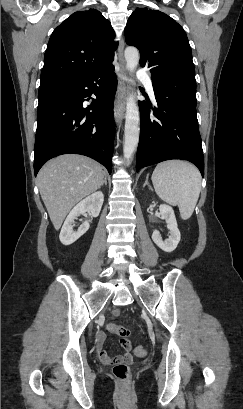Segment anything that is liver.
I'll list each match as a JSON object with an SVG mask.
<instances>
[{"label":"liver","instance_id":"1","mask_svg":"<svg viewBox=\"0 0 243 409\" xmlns=\"http://www.w3.org/2000/svg\"><path fill=\"white\" fill-rule=\"evenodd\" d=\"M104 175L98 162L75 154L58 156L41 168L38 187L56 230L79 201L100 188Z\"/></svg>","mask_w":243,"mask_h":409}]
</instances>
